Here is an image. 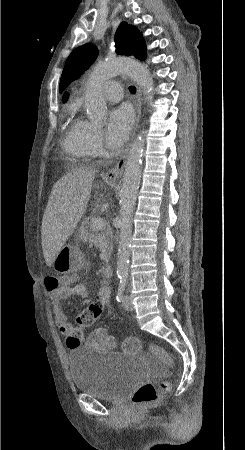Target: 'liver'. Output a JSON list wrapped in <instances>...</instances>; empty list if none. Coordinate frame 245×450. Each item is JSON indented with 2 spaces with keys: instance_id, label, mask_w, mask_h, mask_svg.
<instances>
[{
  "instance_id": "1",
  "label": "liver",
  "mask_w": 245,
  "mask_h": 450,
  "mask_svg": "<svg viewBox=\"0 0 245 450\" xmlns=\"http://www.w3.org/2000/svg\"><path fill=\"white\" fill-rule=\"evenodd\" d=\"M96 170L73 169L54 185L42 220V248L50 267L85 213Z\"/></svg>"
}]
</instances>
